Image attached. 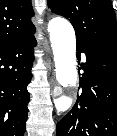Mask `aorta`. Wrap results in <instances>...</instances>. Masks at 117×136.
Instances as JSON below:
<instances>
[{
  "label": "aorta",
  "instance_id": "762f6f07",
  "mask_svg": "<svg viewBox=\"0 0 117 136\" xmlns=\"http://www.w3.org/2000/svg\"><path fill=\"white\" fill-rule=\"evenodd\" d=\"M48 32L54 55L56 79L64 88L74 87L78 79L75 31L69 21L57 17L49 22ZM54 97L60 109L71 102V97L60 88H55Z\"/></svg>",
  "mask_w": 117,
  "mask_h": 136
}]
</instances>
